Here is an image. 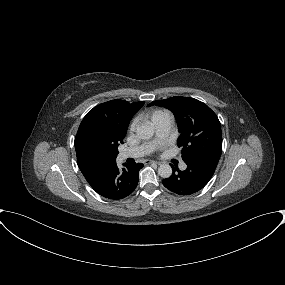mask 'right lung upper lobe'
<instances>
[{"mask_svg": "<svg viewBox=\"0 0 285 285\" xmlns=\"http://www.w3.org/2000/svg\"><path fill=\"white\" fill-rule=\"evenodd\" d=\"M144 102L115 99L97 105L83 118L74 145L84 177L116 163L131 118Z\"/></svg>", "mask_w": 285, "mask_h": 285, "instance_id": "right-lung-upper-lobe-1", "label": "right lung upper lobe"}]
</instances>
